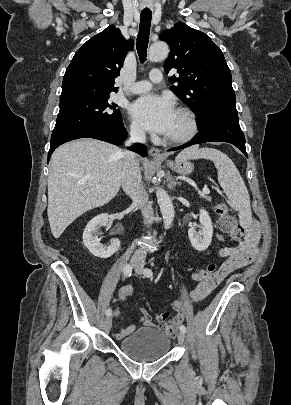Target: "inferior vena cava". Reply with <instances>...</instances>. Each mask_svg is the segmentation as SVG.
<instances>
[{"mask_svg":"<svg viewBox=\"0 0 291 405\" xmlns=\"http://www.w3.org/2000/svg\"><path fill=\"white\" fill-rule=\"evenodd\" d=\"M145 143V132L139 128H131L130 139L126 145L133 143ZM134 152L125 151L122 154L121 185L124 192L132 199L133 204L138 206L147 223L152 222L153 209L149 202L148 194L141 184V171L135 159ZM146 251L138 249L132 257V261L143 263Z\"/></svg>","mask_w":291,"mask_h":405,"instance_id":"602c4592","label":"inferior vena cava"}]
</instances>
